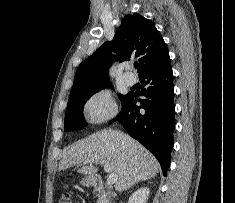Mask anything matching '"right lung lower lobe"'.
Wrapping results in <instances>:
<instances>
[{
    "instance_id": "obj_1",
    "label": "right lung lower lobe",
    "mask_w": 235,
    "mask_h": 203,
    "mask_svg": "<svg viewBox=\"0 0 235 203\" xmlns=\"http://www.w3.org/2000/svg\"><path fill=\"white\" fill-rule=\"evenodd\" d=\"M142 84L147 86L142 91L144 100L128 93L122 101V109L109 123L119 121L131 137L145 146L159 161L163 175L170 165L173 147L174 86L170 58L148 68L140 76Z\"/></svg>"
}]
</instances>
